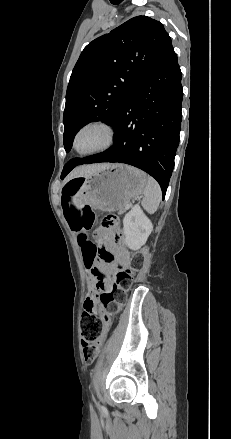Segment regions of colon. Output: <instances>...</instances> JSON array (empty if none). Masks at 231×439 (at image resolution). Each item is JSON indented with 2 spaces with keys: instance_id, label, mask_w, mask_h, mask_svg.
<instances>
[{
  "instance_id": "obj_1",
  "label": "colon",
  "mask_w": 231,
  "mask_h": 439,
  "mask_svg": "<svg viewBox=\"0 0 231 439\" xmlns=\"http://www.w3.org/2000/svg\"><path fill=\"white\" fill-rule=\"evenodd\" d=\"M80 187L79 180H73L67 183L63 188L65 198H69L76 193ZM94 222L93 213L85 208V215L82 219H76L75 226L78 229H88ZM101 226L108 230L113 226V219L105 217ZM120 237L116 236V241ZM100 255L99 248L87 249L84 257L86 268L91 269L94 266L96 258ZM109 260L110 256H103ZM144 263V252L133 254L129 259L120 264L117 273L113 277L109 289L103 290L100 295L102 310L97 312L95 309H86L81 317V343L85 361L92 363L98 356V347L95 343L104 337L106 327L109 326L112 318L121 310L126 301V294L132 286L134 274L141 270ZM94 270V269H93ZM95 275L99 281H105V274L95 271Z\"/></svg>"
}]
</instances>
